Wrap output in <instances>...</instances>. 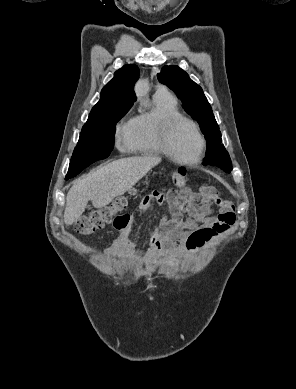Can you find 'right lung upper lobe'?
I'll use <instances>...</instances> for the list:
<instances>
[{
	"label": "right lung upper lobe",
	"instance_id": "obj_1",
	"mask_svg": "<svg viewBox=\"0 0 296 389\" xmlns=\"http://www.w3.org/2000/svg\"><path fill=\"white\" fill-rule=\"evenodd\" d=\"M139 77L135 64L125 65L114 74L101 91L99 102L92 108L89 118L104 115L114 109L131 107L136 100L134 84Z\"/></svg>",
	"mask_w": 296,
	"mask_h": 389
}]
</instances>
